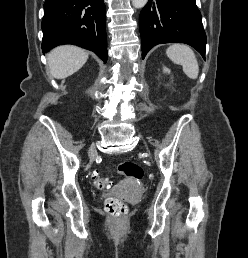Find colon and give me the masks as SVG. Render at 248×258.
I'll return each instance as SVG.
<instances>
[{"label":"colon","mask_w":248,"mask_h":258,"mask_svg":"<svg viewBox=\"0 0 248 258\" xmlns=\"http://www.w3.org/2000/svg\"><path fill=\"white\" fill-rule=\"evenodd\" d=\"M118 172L134 180H140L144 175L143 168L139 164L131 161L119 163ZM91 177L97 188L101 190L111 188V181L108 178L102 177L99 172H93ZM105 208L111 216L116 218L124 216L127 212V205L116 197L107 198Z\"/></svg>","instance_id":"5ec220e1"}]
</instances>
